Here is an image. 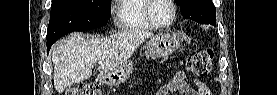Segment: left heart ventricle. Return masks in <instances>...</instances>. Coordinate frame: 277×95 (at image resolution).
Returning <instances> with one entry per match:
<instances>
[{
    "instance_id": "1",
    "label": "left heart ventricle",
    "mask_w": 277,
    "mask_h": 95,
    "mask_svg": "<svg viewBox=\"0 0 277 95\" xmlns=\"http://www.w3.org/2000/svg\"><path fill=\"white\" fill-rule=\"evenodd\" d=\"M172 12V6L165 0H156L151 8V14L158 22L161 23L167 22L170 19Z\"/></svg>"
}]
</instances>
